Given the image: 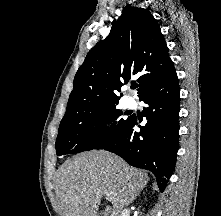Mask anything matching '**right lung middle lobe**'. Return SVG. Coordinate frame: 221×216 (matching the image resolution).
<instances>
[{
  "instance_id": "obj_1",
  "label": "right lung middle lobe",
  "mask_w": 221,
  "mask_h": 216,
  "mask_svg": "<svg viewBox=\"0 0 221 216\" xmlns=\"http://www.w3.org/2000/svg\"><path fill=\"white\" fill-rule=\"evenodd\" d=\"M115 107L116 104L99 107L62 119L56 140L57 155L103 149L111 144L131 118L120 119L111 128L107 127V122H113L122 115V111Z\"/></svg>"
}]
</instances>
